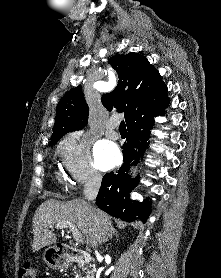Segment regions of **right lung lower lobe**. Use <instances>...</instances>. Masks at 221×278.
I'll return each instance as SVG.
<instances>
[{
    "label": "right lung lower lobe",
    "mask_w": 221,
    "mask_h": 278,
    "mask_svg": "<svg viewBox=\"0 0 221 278\" xmlns=\"http://www.w3.org/2000/svg\"><path fill=\"white\" fill-rule=\"evenodd\" d=\"M165 108L128 127L127 142L123 145L124 163L117 173H107L102 179L96 205L113 217L127 222L139 220L145 223L150 215L151 205L147 200L143 202L130 200L129 193L138 184L139 177L130 179L126 172L130 166L137 164L148 147L154 117L163 114Z\"/></svg>",
    "instance_id": "98d812e1"
}]
</instances>
